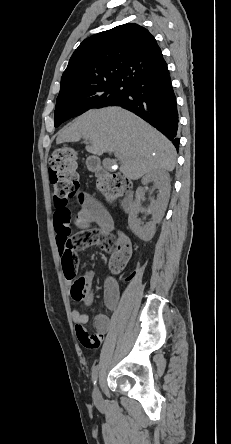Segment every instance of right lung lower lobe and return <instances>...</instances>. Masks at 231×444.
Instances as JSON below:
<instances>
[{
    "label": "right lung lower lobe",
    "mask_w": 231,
    "mask_h": 444,
    "mask_svg": "<svg viewBox=\"0 0 231 444\" xmlns=\"http://www.w3.org/2000/svg\"><path fill=\"white\" fill-rule=\"evenodd\" d=\"M113 105L128 109L149 122L178 149L176 96L167 68L133 82L127 97Z\"/></svg>",
    "instance_id": "obj_1"
}]
</instances>
